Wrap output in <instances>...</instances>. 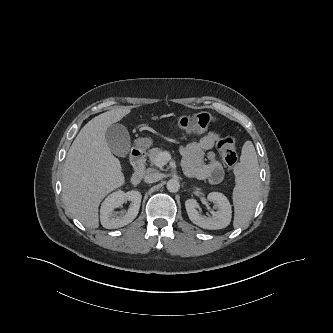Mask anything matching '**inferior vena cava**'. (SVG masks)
Masks as SVG:
<instances>
[{
	"label": "inferior vena cava",
	"mask_w": 333,
	"mask_h": 333,
	"mask_svg": "<svg viewBox=\"0 0 333 333\" xmlns=\"http://www.w3.org/2000/svg\"><path fill=\"white\" fill-rule=\"evenodd\" d=\"M160 179H162V174L158 173V172H149L145 175L144 177V181L146 183H153V182H157Z\"/></svg>",
	"instance_id": "602c4592"
}]
</instances>
